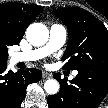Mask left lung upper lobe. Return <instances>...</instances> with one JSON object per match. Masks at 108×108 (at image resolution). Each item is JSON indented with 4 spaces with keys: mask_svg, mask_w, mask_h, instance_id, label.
Here are the masks:
<instances>
[{
    "mask_svg": "<svg viewBox=\"0 0 108 108\" xmlns=\"http://www.w3.org/2000/svg\"><path fill=\"white\" fill-rule=\"evenodd\" d=\"M53 13L68 28L69 41L62 57L65 69L77 71L108 68V30L88 11L61 8Z\"/></svg>",
    "mask_w": 108,
    "mask_h": 108,
    "instance_id": "1",
    "label": "left lung upper lobe"
}]
</instances>
